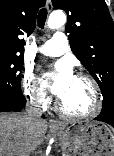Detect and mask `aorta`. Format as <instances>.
<instances>
[{"label": "aorta", "mask_w": 114, "mask_h": 156, "mask_svg": "<svg viewBox=\"0 0 114 156\" xmlns=\"http://www.w3.org/2000/svg\"><path fill=\"white\" fill-rule=\"evenodd\" d=\"M66 22V16L62 11L53 12L48 19L47 25L50 29H57Z\"/></svg>", "instance_id": "aorta-1"}]
</instances>
